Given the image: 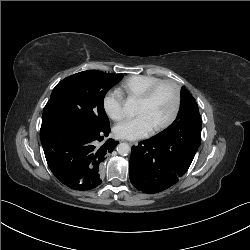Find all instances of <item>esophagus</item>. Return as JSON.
Returning <instances> with one entry per match:
<instances>
[{
	"instance_id": "34e87169",
	"label": "esophagus",
	"mask_w": 250,
	"mask_h": 250,
	"mask_svg": "<svg viewBox=\"0 0 250 250\" xmlns=\"http://www.w3.org/2000/svg\"><path fill=\"white\" fill-rule=\"evenodd\" d=\"M130 145H137V142H129Z\"/></svg>"
}]
</instances>
